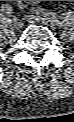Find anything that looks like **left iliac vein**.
Wrapping results in <instances>:
<instances>
[{"label":"left iliac vein","mask_w":74,"mask_h":122,"mask_svg":"<svg viewBox=\"0 0 74 122\" xmlns=\"http://www.w3.org/2000/svg\"><path fill=\"white\" fill-rule=\"evenodd\" d=\"M26 19L28 22L33 23V24H39V25H44L47 27H52V23L47 18H43L41 16H35V15H29L26 16Z\"/></svg>","instance_id":"obj_1"}]
</instances>
